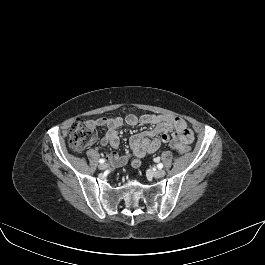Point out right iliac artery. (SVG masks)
Masks as SVG:
<instances>
[{"mask_svg": "<svg viewBox=\"0 0 265 265\" xmlns=\"http://www.w3.org/2000/svg\"><path fill=\"white\" fill-rule=\"evenodd\" d=\"M104 162H105V159H100V160H99V163H100V164H103Z\"/></svg>", "mask_w": 265, "mask_h": 265, "instance_id": "1", "label": "right iliac artery"}]
</instances>
